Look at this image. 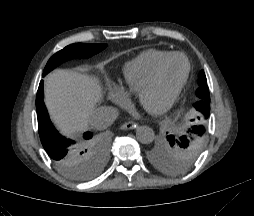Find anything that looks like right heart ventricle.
I'll use <instances>...</instances> for the list:
<instances>
[{
  "label": "right heart ventricle",
  "mask_w": 254,
  "mask_h": 216,
  "mask_svg": "<svg viewBox=\"0 0 254 216\" xmlns=\"http://www.w3.org/2000/svg\"><path fill=\"white\" fill-rule=\"evenodd\" d=\"M170 54L167 51L149 49L126 62L122 68V89L128 93L139 92L149 80L157 64Z\"/></svg>",
  "instance_id": "obj_1"
}]
</instances>
